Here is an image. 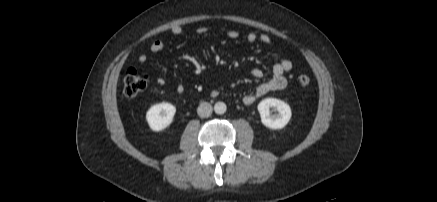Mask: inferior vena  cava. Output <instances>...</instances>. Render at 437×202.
I'll use <instances>...</instances> for the list:
<instances>
[{"label":"inferior vena cava","instance_id":"inferior-vena-cava-1","mask_svg":"<svg viewBox=\"0 0 437 202\" xmlns=\"http://www.w3.org/2000/svg\"><path fill=\"white\" fill-rule=\"evenodd\" d=\"M212 106L207 102H201L197 108V113L201 118L209 117L212 114Z\"/></svg>","mask_w":437,"mask_h":202}]
</instances>
